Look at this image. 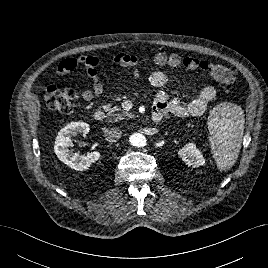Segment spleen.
Instances as JSON below:
<instances>
[{
  "instance_id": "obj_1",
  "label": "spleen",
  "mask_w": 268,
  "mask_h": 268,
  "mask_svg": "<svg viewBox=\"0 0 268 268\" xmlns=\"http://www.w3.org/2000/svg\"><path fill=\"white\" fill-rule=\"evenodd\" d=\"M244 111L236 104L220 103L208 119L211 153L220 170H229L236 162L244 132Z\"/></svg>"
}]
</instances>
